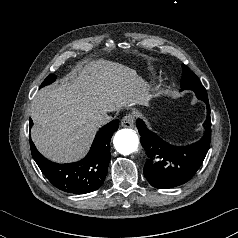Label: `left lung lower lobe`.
I'll return each mask as SVG.
<instances>
[{
  "mask_svg": "<svg viewBox=\"0 0 238 238\" xmlns=\"http://www.w3.org/2000/svg\"><path fill=\"white\" fill-rule=\"evenodd\" d=\"M207 118L203 126L205 133L198 142L188 146H174L150 131L143 120L136 126L141 136V145L148 157L144 175L156 188H173L188 182L202 165L211 141V118L208 101Z\"/></svg>",
  "mask_w": 238,
  "mask_h": 238,
  "instance_id": "obj_1",
  "label": "left lung lower lobe"
}]
</instances>
